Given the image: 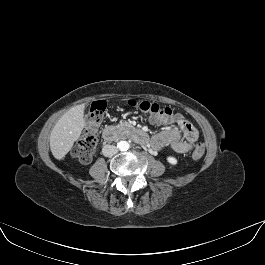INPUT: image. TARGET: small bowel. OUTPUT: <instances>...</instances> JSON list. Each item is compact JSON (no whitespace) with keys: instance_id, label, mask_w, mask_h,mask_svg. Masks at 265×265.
I'll list each match as a JSON object with an SVG mask.
<instances>
[{"instance_id":"obj_1","label":"small bowel","mask_w":265,"mask_h":265,"mask_svg":"<svg viewBox=\"0 0 265 265\" xmlns=\"http://www.w3.org/2000/svg\"><path fill=\"white\" fill-rule=\"evenodd\" d=\"M149 121L152 124L166 127L151 139V146L155 150L170 147L175 152L187 153L194 148L202 147L198 143L199 135L197 130L182 115L179 118H158L150 115ZM174 125L177 127H174Z\"/></svg>"}]
</instances>
